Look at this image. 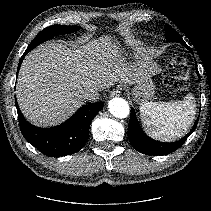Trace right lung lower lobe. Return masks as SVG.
<instances>
[{
    "mask_svg": "<svg viewBox=\"0 0 211 211\" xmlns=\"http://www.w3.org/2000/svg\"><path fill=\"white\" fill-rule=\"evenodd\" d=\"M27 53L25 51L21 57L17 71ZM102 107V102L84 105L66 122L52 128H39L25 120L16 102L24 138L48 157L65 156L81 150L88 138L91 121Z\"/></svg>",
    "mask_w": 211,
    "mask_h": 211,
    "instance_id": "1",
    "label": "right lung lower lobe"
}]
</instances>
